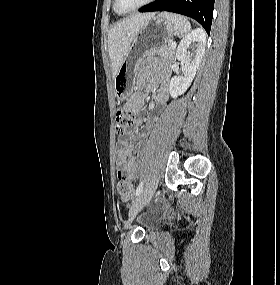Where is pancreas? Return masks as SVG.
Segmentation results:
<instances>
[{"label": "pancreas", "mask_w": 280, "mask_h": 285, "mask_svg": "<svg viewBox=\"0 0 280 285\" xmlns=\"http://www.w3.org/2000/svg\"><path fill=\"white\" fill-rule=\"evenodd\" d=\"M170 43L171 41H168L167 43L163 44L160 47L153 48L150 51H148L146 55H160L164 59L171 61L174 58L175 48H172L170 46Z\"/></svg>", "instance_id": "obj_1"}]
</instances>
